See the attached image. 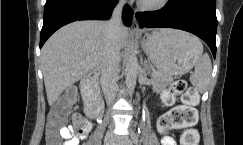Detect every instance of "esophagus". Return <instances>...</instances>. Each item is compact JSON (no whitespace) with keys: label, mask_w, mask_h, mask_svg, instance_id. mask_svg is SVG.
<instances>
[{"label":"esophagus","mask_w":243,"mask_h":145,"mask_svg":"<svg viewBox=\"0 0 243 145\" xmlns=\"http://www.w3.org/2000/svg\"><path fill=\"white\" fill-rule=\"evenodd\" d=\"M131 27H132L133 31H138V21H137V11L136 10H134Z\"/></svg>","instance_id":"obj_1"}]
</instances>
